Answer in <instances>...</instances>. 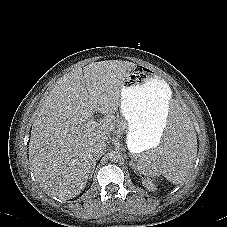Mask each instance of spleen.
Instances as JSON below:
<instances>
[{"mask_svg": "<svg viewBox=\"0 0 227 227\" xmlns=\"http://www.w3.org/2000/svg\"><path fill=\"white\" fill-rule=\"evenodd\" d=\"M190 112L182 103L169 109L168 133L157 152H142L137 160V170L145 176L162 174L173 184L184 182L190 174L197 156V139L189 122Z\"/></svg>", "mask_w": 227, "mask_h": 227, "instance_id": "spleen-1", "label": "spleen"}]
</instances>
